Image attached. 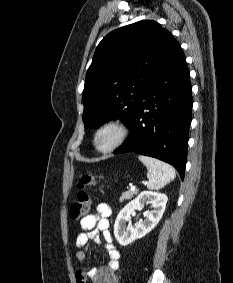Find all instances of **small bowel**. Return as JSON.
<instances>
[{
	"instance_id": "small-bowel-1",
	"label": "small bowel",
	"mask_w": 233,
	"mask_h": 283,
	"mask_svg": "<svg viewBox=\"0 0 233 283\" xmlns=\"http://www.w3.org/2000/svg\"><path fill=\"white\" fill-rule=\"evenodd\" d=\"M110 215V206L106 203H100L94 213L87 215L81 220L80 227L82 232L76 239V247L78 248L76 253L77 260L80 262L85 260L89 244L94 242L96 244L103 243L108 254V262L105 266L92 268L88 272L78 271L75 275L76 283H86L87 278H90L93 283H120L117 275L120 253L113 244L109 230Z\"/></svg>"
}]
</instances>
